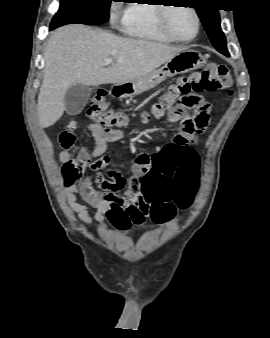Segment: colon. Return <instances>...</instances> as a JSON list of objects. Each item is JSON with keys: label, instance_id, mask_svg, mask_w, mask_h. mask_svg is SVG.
I'll list each match as a JSON object with an SVG mask.
<instances>
[{"label": "colon", "instance_id": "1", "mask_svg": "<svg viewBox=\"0 0 270 338\" xmlns=\"http://www.w3.org/2000/svg\"><path fill=\"white\" fill-rule=\"evenodd\" d=\"M233 86V79L229 69L223 64L211 63L201 72L180 77L171 85L164 97H162L152 108L153 117H160L164 112H171L173 116H178L184 112V108L194 109L193 117H186L183 122V130L192 135L191 141L198 142V137L204 132L208 122L206 107L201 105L196 94L201 92H217L230 90ZM183 108L174 107V101L180 96ZM108 96L104 92L94 95L88 106L87 116L95 123L106 127L108 130L120 124L121 117L116 112L106 111ZM187 138L183 134H178L169 145L161 150V154L173 151L177 147L185 144ZM141 160L135 159L134 170L141 175V178H131L127 180L120 174H111V182L105 186L111 188L114 194L117 207L112 210L113 215L110 222L118 228H125L130 222L138 224L140 218L144 220L152 215L157 221H163L171 216L172 208L168 205H150L144 201L142 195L149 192L148 168H139ZM82 174L80 164L77 160H70L65 163L62 170V177L65 186L73 185L78 181ZM197 185L189 183L186 189L179 188L174 197L176 205L184 209L188 207L194 198Z\"/></svg>", "mask_w": 270, "mask_h": 338}]
</instances>
